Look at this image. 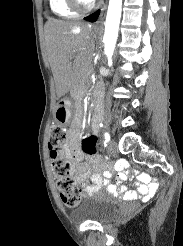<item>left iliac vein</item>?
<instances>
[{
  "instance_id": "1",
  "label": "left iliac vein",
  "mask_w": 183,
  "mask_h": 246,
  "mask_svg": "<svg viewBox=\"0 0 183 246\" xmlns=\"http://www.w3.org/2000/svg\"><path fill=\"white\" fill-rule=\"evenodd\" d=\"M118 152L117 144L114 140H111L108 144V153L110 155H115Z\"/></svg>"
}]
</instances>
